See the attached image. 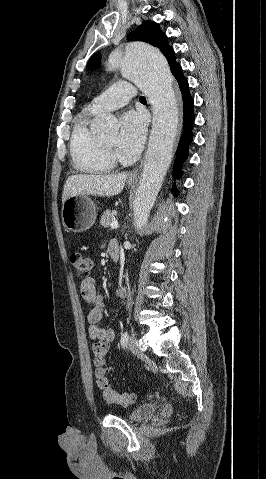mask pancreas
<instances>
[{
	"label": "pancreas",
	"instance_id": "1",
	"mask_svg": "<svg viewBox=\"0 0 266 479\" xmlns=\"http://www.w3.org/2000/svg\"><path fill=\"white\" fill-rule=\"evenodd\" d=\"M114 220V211L106 210L101 216L100 224L108 227Z\"/></svg>",
	"mask_w": 266,
	"mask_h": 479
}]
</instances>
